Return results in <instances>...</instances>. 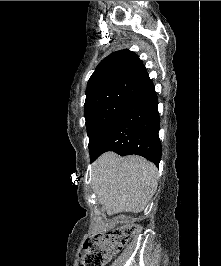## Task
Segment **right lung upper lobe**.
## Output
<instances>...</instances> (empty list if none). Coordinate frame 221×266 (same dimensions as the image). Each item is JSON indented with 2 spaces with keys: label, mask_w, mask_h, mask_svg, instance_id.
<instances>
[{
  "label": "right lung upper lobe",
  "mask_w": 221,
  "mask_h": 266,
  "mask_svg": "<svg viewBox=\"0 0 221 266\" xmlns=\"http://www.w3.org/2000/svg\"><path fill=\"white\" fill-rule=\"evenodd\" d=\"M151 79L139 57L130 50H119L104 58L91 75L86 96L96 90L123 85L143 87Z\"/></svg>",
  "instance_id": "cb5924a9"
}]
</instances>
